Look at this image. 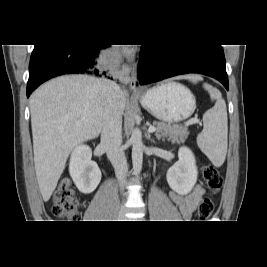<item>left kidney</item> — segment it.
<instances>
[{
	"mask_svg": "<svg viewBox=\"0 0 267 267\" xmlns=\"http://www.w3.org/2000/svg\"><path fill=\"white\" fill-rule=\"evenodd\" d=\"M179 160L167 171V182L172 190L180 195H186L194 187L198 171L194 154L187 147L178 151Z\"/></svg>",
	"mask_w": 267,
	"mask_h": 267,
	"instance_id": "left-kidney-1",
	"label": "left kidney"
}]
</instances>
